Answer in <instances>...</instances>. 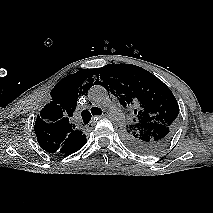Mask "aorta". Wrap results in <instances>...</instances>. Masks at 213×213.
<instances>
[{
    "mask_svg": "<svg viewBox=\"0 0 213 213\" xmlns=\"http://www.w3.org/2000/svg\"><path fill=\"white\" fill-rule=\"evenodd\" d=\"M88 97L94 105L108 109L109 119L113 123L120 126L124 125L125 117L123 113L112 105L108 92L104 87L100 85L92 86L88 92Z\"/></svg>",
    "mask_w": 213,
    "mask_h": 213,
    "instance_id": "1",
    "label": "aorta"
}]
</instances>
